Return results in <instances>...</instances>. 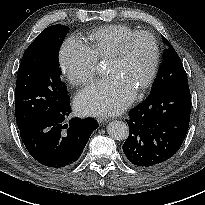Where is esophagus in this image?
Here are the masks:
<instances>
[{
	"instance_id": "1",
	"label": "esophagus",
	"mask_w": 205,
	"mask_h": 205,
	"mask_svg": "<svg viewBox=\"0 0 205 205\" xmlns=\"http://www.w3.org/2000/svg\"><path fill=\"white\" fill-rule=\"evenodd\" d=\"M96 120H97V122L100 123V124L109 121L108 119L103 118V117H97Z\"/></svg>"
}]
</instances>
